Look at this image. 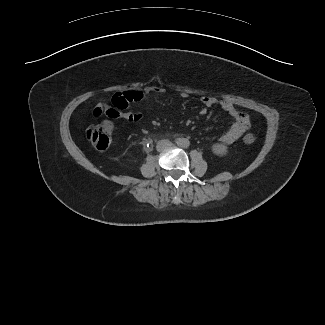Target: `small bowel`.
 I'll return each instance as SVG.
<instances>
[{
	"label": "small bowel",
	"instance_id": "obj_1",
	"mask_svg": "<svg viewBox=\"0 0 325 325\" xmlns=\"http://www.w3.org/2000/svg\"><path fill=\"white\" fill-rule=\"evenodd\" d=\"M164 90L157 86H148L142 89L132 90L125 93L116 94L113 98V105L100 103L93 111V115L98 117L101 114L110 119H125L129 122H138L142 118L140 112H125L131 102H141L150 94H162ZM183 98H188L187 93H182ZM201 102L205 108H210L215 104L220 106L233 118V123L226 132L219 138V142L224 145H231L239 140L250 126L249 117L239 111L235 106L226 100H218L215 97L204 96ZM206 109L202 110V114Z\"/></svg>",
	"mask_w": 325,
	"mask_h": 325
}]
</instances>
